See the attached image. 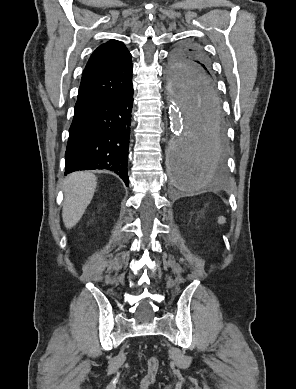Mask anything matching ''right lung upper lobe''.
<instances>
[{"mask_svg": "<svg viewBox=\"0 0 296 389\" xmlns=\"http://www.w3.org/2000/svg\"><path fill=\"white\" fill-rule=\"evenodd\" d=\"M132 83L131 54L110 40L91 55L82 75L75 110L121 94Z\"/></svg>", "mask_w": 296, "mask_h": 389, "instance_id": "cb5924a9", "label": "right lung upper lobe"}]
</instances>
